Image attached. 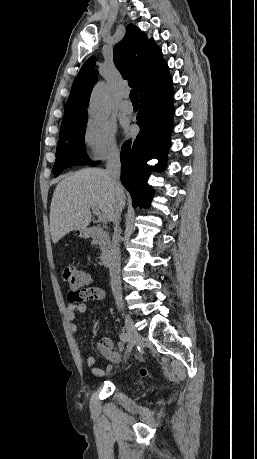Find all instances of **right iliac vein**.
Here are the masks:
<instances>
[{
    "mask_svg": "<svg viewBox=\"0 0 257 459\" xmlns=\"http://www.w3.org/2000/svg\"><path fill=\"white\" fill-rule=\"evenodd\" d=\"M123 316L125 320V329L127 331V334L129 335V342L131 344V347H133L139 340L140 334L136 330L131 317L126 313H123Z\"/></svg>",
    "mask_w": 257,
    "mask_h": 459,
    "instance_id": "right-iliac-vein-1",
    "label": "right iliac vein"
}]
</instances>
